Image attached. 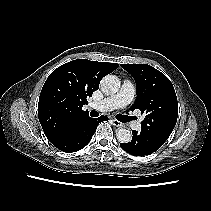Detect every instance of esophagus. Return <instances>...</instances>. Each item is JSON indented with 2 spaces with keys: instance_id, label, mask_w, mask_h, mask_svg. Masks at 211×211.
<instances>
[{
  "instance_id": "esophagus-1",
  "label": "esophagus",
  "mask_w": 211,
  "mask_h": 211,
  "mask_svg": "<svg viewBox=\"0 0 211 211\" xmlns=\"http://www.w3.org/2000/svg\"><path fill=\"white\" fill-rule=\"evenodd\" d=\"M112 122H113V125L116 126V127L122 126V123L120 121L116 120V119H113Z\"/></svg>"
}]
</instances>
